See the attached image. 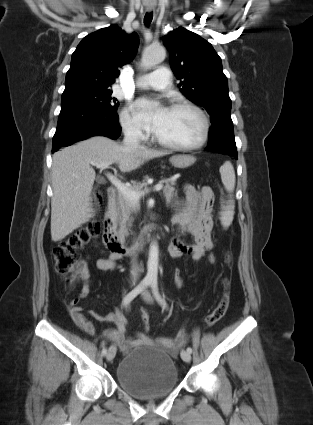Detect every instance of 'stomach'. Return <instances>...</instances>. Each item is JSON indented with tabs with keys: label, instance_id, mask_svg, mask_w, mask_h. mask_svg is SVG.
I'll list each match as a JSON object with an SVG mask.
<instances>
[{
	"label": "stomach",
	"instance_id": "obj_1",
	"mask_svg": "<svg viewBox=\"0 0 313 425\" xmlns=\"http://www.w3.org/2000/svg\"><path fill=\"white\" fill-rule=\"evenodd\" d=\"M196 161V158L192 155L180 154L174 155L170 158L171 164L175 168L184 169L191 166Z\"/></svg>",
	"mask_w": 313,
	"mask_h": 425
}]
</instances>
